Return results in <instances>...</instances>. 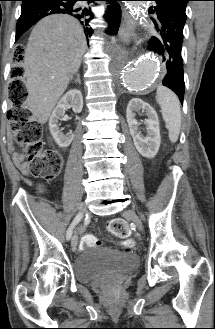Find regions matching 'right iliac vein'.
I'll list each match as a JSON object with an SVG mask.
<instances>
[{
  "instance_id": "1",
  "label": "right iliac vein",
  "mask_w": 215,
  "mask_h": 329,
  "mask_svg": "<svg viewBox=\"0 0 215 329\" xmlns=\"http://www.w3.org/2000/svg\"><path fill=\"white\" fill-rule=\"evenodd\" d=\"M86 210H87V209H86L85 204L82 203V204L79 206V213H78V214H80L81 217H83L84 214L86 213ZM77 244H78V236H77V234L75 233V234L73 235L72 239H71V246H72V249H73V250L76 249Z\"/></svg>"
}]
</instances>
